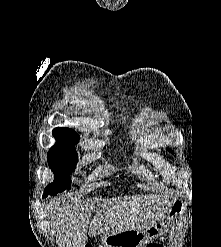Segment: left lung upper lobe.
Returning a JSON list of instances; mask_svg holds the SVG:
<instances>
[{
    "label": "left lung upper lobe",
    "instance_id": "left-lung-upper-lobe-1",
    "mask_svg": "<svg viewBox=\"0 0 221 247\" xmlns=\"http://www.w3.org/2000/svg\"><path fill=\"white\" fill-rule=\"evenodd\" d=\"M167 150H168L170 153H173V151H172L171 149L168 148Z\"/></svg>",
    "mask_w": 221,
    "mask_h": 247
}]
</instances>
